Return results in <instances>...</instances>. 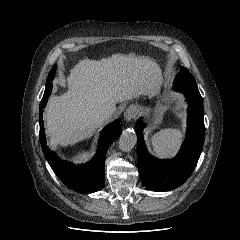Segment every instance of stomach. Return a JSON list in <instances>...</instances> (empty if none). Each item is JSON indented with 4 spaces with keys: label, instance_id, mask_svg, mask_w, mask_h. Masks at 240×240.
<instances>
[{
    "label": "stomach",
    "instance_id": "1",
    "mask_svg": "<svg viewBox=\"0 0 240 240\" xmlns=\"http://www.w3.org/2000/svg\"><path fill=\"white\" fill-rule=\"evenodd\" d=\"M159 94V87L157 88L155 95ZM156 107L153 111L152 120L154 123H159L162 120L164 112L168 109V104L160 96H157Z\"/></svg>",
    "mask_w": 240,
    "mask_h": 240
}]
</instances>
